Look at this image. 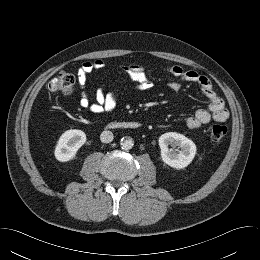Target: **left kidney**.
I'll return each instance as SVG.
<instances>
[{
	"label": "left kidney",
	"instance_id": "5707ae66",
	"mask_svg": "<svg viewBox=\"0 0 260 260\" xmlns=\"http://www.w3.org/2000/svg\"><path fill=\"white\" fill-rule=\"evenodd\" d=\"M159 146L161 149V158L164 163L175 169H183L187 167L196 154V145L194 142L182 134L176 132H168L160 136ZM169 146L180 150L176 152L169 149Z\"/></svg>",
	"mask_w": 260,
	"mask_h": 260
}]
</instances>
